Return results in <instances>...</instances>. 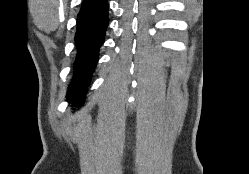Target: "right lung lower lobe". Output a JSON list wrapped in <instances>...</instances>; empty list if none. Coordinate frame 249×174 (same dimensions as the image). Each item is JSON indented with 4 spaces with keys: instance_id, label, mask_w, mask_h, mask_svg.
<instances>
[{
    "instance_id": "right-lung-lower-lobe-1",
    "label": "right lung lower lobe",
    "mask_w": 249,
    "mask_h": 174,
    "mask_svg": "<svg viewBox=\"0 0 249 174\" xmlns=\"http://www.w3.org/2000/svg\"><path fill=\"white\" fill-rule=\"evenodd\" d=\"M108 8L107 0H91L82 4L77 16L75 76L67 93V100L76 106H80L83 101L85 87L90 81L99 48L105 39L109 22Z\"/></svg>"
}]
</instances>
